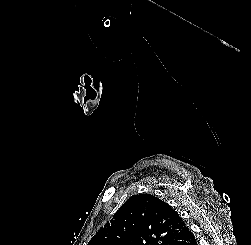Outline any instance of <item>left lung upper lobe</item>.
<instances>
[{
  "label": "left lung upper lobe",
  "mask_w": 251,
  "mask_h": 245,
  "mask_svg": "<svg viewBox=\"0 0 251 245\" xmlns=\"http://www.w3.org/2000/svg\"><path fill=\"white\" fill-rule=\"evenodd\" d=\"M187 225L171 206L150 195H132L88 245H171Z\"/></svg>",
  "instance_id": "left-lung-upper-lobe-1"
}]
</instances>
